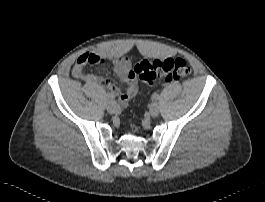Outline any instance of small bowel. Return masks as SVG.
Returning <instances> with one entry per match:
<instances>
[{"mask_svg":"<svg viewBox=\"0 0 265 202\" xmlns=\"http://www.w3.org/2000/svg\"><path fill=\"white\" fill-rule=\"evenodd\" d=\"M109 63L113 72L126 83L125 91L109 83L104 78L92 73H85L86 66H99ZM131 62L128 58L117 57L110 61L102 52L87 51L82 53L75 64V76L87 81L91 85H101L107 89L112 97H116L120 105L125 106L138 92V85L131 73Z\"/></svg>","mask_w":265,"mask_h":202,"instance_id":"1","label":"small bowel"}]
</instances>
